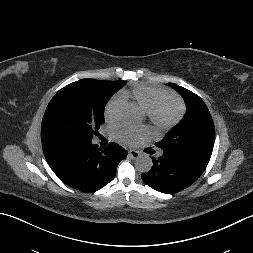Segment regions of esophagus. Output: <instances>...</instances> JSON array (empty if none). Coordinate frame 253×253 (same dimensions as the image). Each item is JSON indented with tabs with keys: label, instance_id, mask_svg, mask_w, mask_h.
I'll list each match as a JSON object with an SVG mask.
<instances>
[{
	"label": "esophagus",
	"instance_id": "1",
	"mask_svg": "<svg viewBox=\"0 0 253 253\" xmlns=\"http://www.w3.org/2000/svg\"><path fill=\"white\" fill-rule=\"evenodd\" d=\"M128 155H129L132 159H137V158L140 156L139 152L136 151V150H129V151H128Z\"/></svg>",
	"mask_w": 253,
	"mask_h": 253
}]
</instances>
